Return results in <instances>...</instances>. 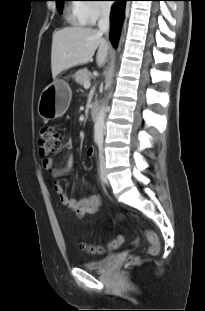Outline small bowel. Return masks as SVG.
I'll return each mask as SVG.
<instances>
[{
	"label": "small bowel",
	"instance_id": "small-bowel-1",
	"mask_svg": "<svg viewBox=\"0 0 205 311\" xmlns=\"http://www.w3.org/2000/svg\"><path fill=\"white\" fill-rule=\"evenodd\" d=\"M73 143L71 139H67L63 144L64 150H71ZM95 156V149L89 148L86 151V157L88 159H93ZM73 160L71 156L66 157L65 166L62 168L54 167V162L52 158H44L42 161L43 168L50 172L55 178L53 182V190L58 195L61 203L75 212V215L78 218H83L86 215L95 214L100 207V200L96 194H90L86 197H83L79 200L71 198L65 191L64 186L62 185L59 178L66 176L71 171Z\"/></svg>",
	"mask_w": 205,
	"mask_h": 311
}]
</instances>
